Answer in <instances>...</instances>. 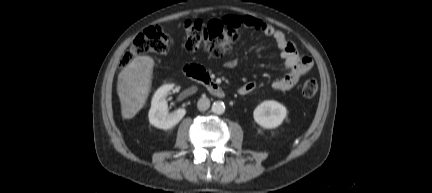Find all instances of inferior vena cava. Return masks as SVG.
<instances>
[{
	"label": "inferior vena cava",
	"mask_w": 432,
	"mask_h": 193,
	"mask_svg": "<svg viewBox=\"0 0 432 193\" xmlns=\"http://www.w3.org/2000/svg\"><path fill=\"white\" fill-rule=\"evenodd\" d=\"M210 107V100L207 97H202L198 100L197 108L200 111H206Z\"/></svg>",
	"instance_id": "1"
}]
</instances>
